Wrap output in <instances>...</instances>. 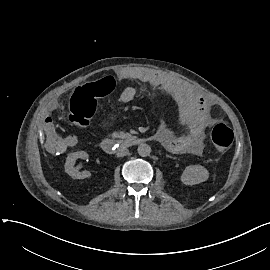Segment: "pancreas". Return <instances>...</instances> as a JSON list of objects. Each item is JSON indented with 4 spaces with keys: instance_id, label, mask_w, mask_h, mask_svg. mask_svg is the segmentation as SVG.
I'll return each mask as SVG.
<instances>
[{
    "instance_id": "pancreas-1",
    "label": "pancreas",
    "mask_w": 270,
    "mask_h": 270,
    "mask_svg": "<svg viewBox=\"0 0 270 270\" xmlns=\"http://www.w3.org/2000/svg\"><path fill=\"white\" fill-rule=\"evenodd\" d=\"M126 137V133L125 132H113L112 133V138L113 139H117V138H125Z\"/></svg>"
}]
</instances>
